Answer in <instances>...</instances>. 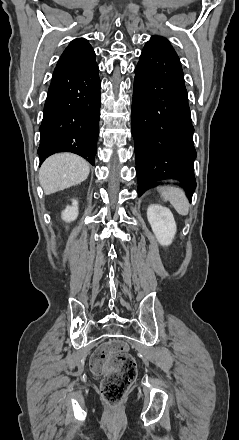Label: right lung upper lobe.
<instances>
[{"mask_svg":"<svg viewBox=\"0 0 239 440\" xmlns=\"http://www.w3.org/2000/svg\"><path fill=\"white\" fill-rule=\"evenodd\" d=\"M96 65L95 52L84 38L74 39L61 55L56 67L87 68Z\"/></svg>","mask_w":239,"mask_h":440,"instance_id":"cb5924a9","label":"right lung upper lobe"}]
</instances>
